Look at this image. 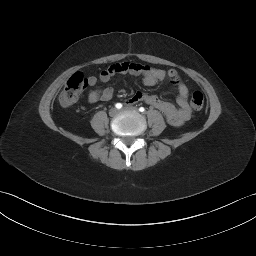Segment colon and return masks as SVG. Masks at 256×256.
Returning a JSON list of instances; mask_svg holds the SVG:
<instances>
[{
	"label": "colon",
	"instance_id": "colon-1",
	"mask_svg": "<svg viewBox=\"0 0 256 256\" xmlns=\"http://www.w3.org/2000/svg\"><path fill=\"white\" fill-rule=\"evenodd\" d=\"M87 79L80 72L74 73L66 82L60 94L59 101L63 106L73 105L79 99L81 93L87 86ZM205 98L202 92L195 91L191 96V106L195 110L203 108Z\"/></svg>",
	"mask_w": 256,
	"mask_h": 256
}]
</instances>
